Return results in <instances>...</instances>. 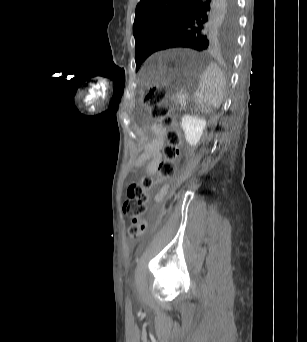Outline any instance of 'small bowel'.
Segmentation results:
<instances>
[{
	"label": "small bowel",
	"mask_w": 307,
	"mask_h": 342,
	"mask_svg": "<svg viewBox=\"0 0 307 342\" xmlns=\"http://www.w3.org/2000/svg\"><path fill=\"white\" fill-rule=\"evenodd\" d=\"M153 138L143 135L144 151L135 161V171L147 163L146 173L153 175L156 172V166L162 160L161 150L165 144L166 130L160 124L153 122L148 127ZM163 194L156 196V201L161 200Z\"/></svg>",
	"instance_id": "small-bowel-1"
}]
</instances>
